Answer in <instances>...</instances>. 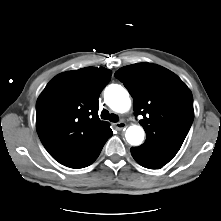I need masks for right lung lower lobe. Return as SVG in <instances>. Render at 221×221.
Wrapping results in <instances>:
<instances>
[{
	"label": "right lung lower lobe",
	"mask_w": 221,
	"mask_h": 221,
	"mask_svg": "<svg viewBox=\"0 0 221 221\" xmlns=\"http://www.w3.org/2000/svg\"><path fill=\"white\" fill-rule=\"evenodd\" d=\"M112 134L113 132L111 129L107 130L104 135H102L99 139L90 144L79 155L63 165L70 168H84L86 166H89L97 159L104 144L112 136Z\"/></svg>",
	"instance_id": "right-lung-lower-lobe-1"
}]
</instances>
